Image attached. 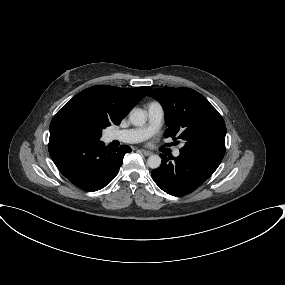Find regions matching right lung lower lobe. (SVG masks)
Listing matches in <instances>:
<instances>
[{"label":"right lung lower lobe","mask_w":285,"mask_h":285,"mask_svg":"<svg viewBox=\"0 0 285 285\" xmlns=\"http://www.w3.org/2000/svg\"><path fill=\"white\" fill-rule=\"evenodd\" d=\"M49 154L58 170L75 186L97 191L108 185L117 175L123 157L131 148L104 146L102 141H86L73 134H50Z\"/></svg>","instance_id":"98d812e1"}]
</instances>
